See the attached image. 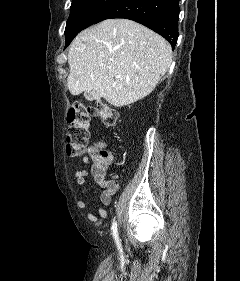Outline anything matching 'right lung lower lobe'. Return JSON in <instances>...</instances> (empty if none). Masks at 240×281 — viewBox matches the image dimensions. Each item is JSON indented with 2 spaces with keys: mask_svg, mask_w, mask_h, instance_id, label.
I'll use <instances>...</instances> for the list:
<instances>
[{
  "mask_svg": "<svg viewBox=\"0 0 240 281\" xmlns=\"http://www.w3.org/2000/svg\"><path fill=\"white\" fill-rule=\"evenodd\" d=\"M178 0H116L94 22L110 18L136 21L163 36L174 49L178 35Z\"/></svg>",
  "mask_w": 240,
  "mask_h": 281,
  "instance_id": "1",
  "label": "right lung lower lobe"
}]
</instances>
